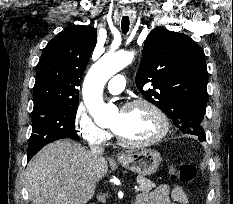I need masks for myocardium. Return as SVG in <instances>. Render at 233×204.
<instances>
[{"label": "myocardium", "instance_id": "1", "mask_svg": "<svg viewBox=\"0 0 233 204\" xmlns=\"http://www.w3.org/2000/svg\"><path fill=\"white\" fill-rule=\"evenodd\" d=\"M138 106H144L150 109L160 121L161 129L155 136L144 141L127 140L112 129L117 141L123 146L131 147V148H143V147L152 146L160 142L162 139H164L170 130V122L165 112L158 105H156L154 102L148 99H144V98L133 99L125 103L122 107V110H128Z\"/></svg>", "mask_w": 233, "mask_h": 204}]
</instances>
